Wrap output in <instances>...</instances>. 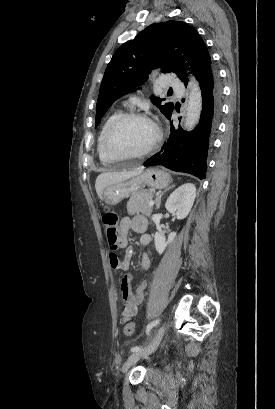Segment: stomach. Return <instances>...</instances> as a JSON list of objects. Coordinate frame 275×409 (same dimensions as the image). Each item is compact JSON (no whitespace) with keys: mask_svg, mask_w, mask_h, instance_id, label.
I'll use <instances>...</instances> for the list:
<instances>
[{"mask_svg":"<svg viewBox=\"0 0 275 409\" xmlns=\"http://www.w3.org/2000/svg\"><path fill=\"white\" fill-rule=\"evenodd\" d=\"M171 178L168 172L162 168H146L144 172L138 176H132L129 180H121L115 184L105 186L103 190V198L107 205H118V202L126 196H131L135 192L142 190L144 186H151V188H166L169 186Z\"/></svg>","mask_w":275,"mask_h":409,"instance_id":"1","label":"stomach"}]
</instances>
